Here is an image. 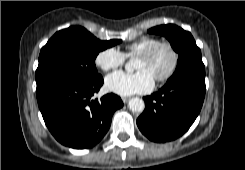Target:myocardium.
<instances>
[{
    "instance_id": "1",
    "label": "myocardium",
    "mask_w": 245,
    "mask_h": 170,
    "mask_svg": "<svg viewBox=\"0 0 245 170\" xmlns=\"http://www.w3.org/2000/svg\"><path fill=\"white\" fill-rule=\"evenodd\" d=\"M161 47H165L169 50V52L172 56V63L170 65L169 69L166 71V73H164L162 76L155 79L157 82H160V83L166 82L167 80H169L173 76V74L175 73V71L178 67L179 54H178L177 50L175 49V47L168 41H157L152 46H150L148 49L142 51L141 53H139L137 55V57H139V58L149 59Z\"/></svg>"
}]
</instances>
